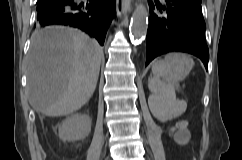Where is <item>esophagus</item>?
<instances>
[{"mask_svg":"<svg viewBox=\"0 0 242 160\" xmlns=\"http://www.w3.org/2000/svg\"><path fill=\"white\" fill-rule=\"evenodd\" d=\"M116 11L117 15L121 17L123 14L130 11L129 0H117L116 1Z\"/></svg>","mask_w":242,"mask_h":160,"instance_id":"34e87169","label":"esophagus"}]
</instances>
